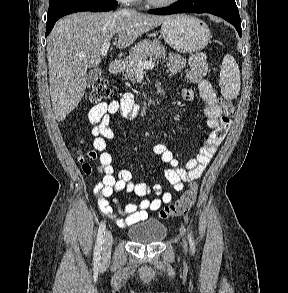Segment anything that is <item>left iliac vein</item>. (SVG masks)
<instances>
[{
	"instance_id": "1",
	"label": "left iliac vein",
	"mask_w": 288,
	"mask_h": 293,
	"mask_svg": "<svg viewBox=\"0 0 288 293\" xmlns=\"http://www.w3.org/2000/svg\"><path fill=\"white\" fill-rule=\"evenodd\" d=\"M184 250L186 251V243H183Z\"/></svg>"
}]
</instances>
